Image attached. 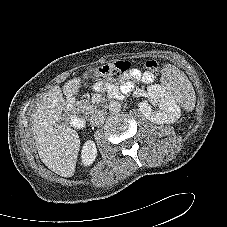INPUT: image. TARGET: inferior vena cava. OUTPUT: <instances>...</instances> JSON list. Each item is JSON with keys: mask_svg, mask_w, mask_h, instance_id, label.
Instances as JSON below:
<instances>
[{"mask_svg": "<svg viewBox=\"0 0 227 227\" xmlns=\"http://www.w3.org/2000/svg\"><path fill=\"white\" fill-rule=\"evenodd\" d=\"M90 123L94 126H99L104 123L105 114L101 110H96L89 117Z\"/></svg>", "mask_w": 227, "mask_h": 227, "instance_id": "inferior-vena-cava-1", "label": "inferior vena cava"}]
</instances>
